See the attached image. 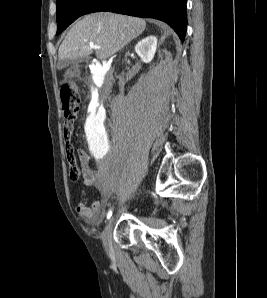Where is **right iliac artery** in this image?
Segmentation results:
<instances>
[{"label": "right iliac artery", "instance_id": "right-iliac-artery-1", "mask_svg": "<svg viewBox=\"0 0 267 298\" xmlns=\"http://www.w3.org/2000/svg\"><path fill=\"white\" fill-rule=\"evenodd\" d=\"M112 213H113V208L109 209V211L107 212V215H106L107 219L111 217Z\"/></svg>", "mask_w": 267, "mask_h": 298}]
</instances>
